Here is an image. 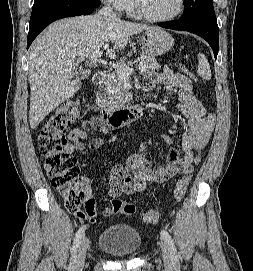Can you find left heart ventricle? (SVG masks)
I'll list each match as a JSON object with an SVG mask.
<instances>
[{"instance_id": "b2bd125f", "label": "left heart ventricle", "mask_w": 253, "mask_h": 271, "mask_svg": "<svg viewBox=\"0 0 253 271\" xmlns=\"http://www.w3.org/2000/svg\"><path fill=\"white\" fill-rule=\"evenodd\" d=\"M145 11L153 16L164 17L174 13L179 0H142Z\"/></svg>"}]
</instances>
